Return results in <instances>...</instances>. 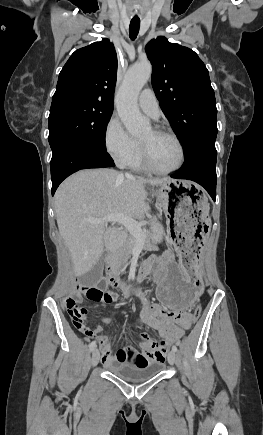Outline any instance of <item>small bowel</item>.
<instances>
[{
	"label": "small bowel",
	"instance_id": "obj_1",
	"mask_svg": "<svg viewBox=\"0 0 263 435\" xmlns=\"http://www.w3.org/2000/svg\"><path fill=\"white\" fill-rule=\"evenodd\" d=\"M163 258L174 257L170 251H165L159 257L151 256L139 269L136 279L141 280L147 273H151L154 268L160 267ZM116 285L122 288L125 296L135 298L140 303V325L155 330L160 336L159 341H156L147 333H143L139 343L141 352L127 346L118 350L116 354H112L110 340L106 335H101L102 363L106 367H111L115 363L140 366L152 361H164L165 355H170L175 347L173 342L182 336L184 328H189V323H187L189 320L188 313L186 310H167L165 305H158V303L151 304L142 291L122 280H117ZM111 294L114 296L112 302L116 301L117 294L114 292ZM74 298L78 303L82 302L83 293L80 289L75 291ZM170 338L173 342L168 341Z\"/></svg>",
	"mask_w": 263,
	"mask_h": 435
}]
</instances>
